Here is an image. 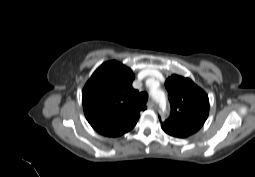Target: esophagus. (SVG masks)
<instances>
[{"label": "esophagus", "instance_id": "34e87169", "mask_svg": "<svg viewBox=\"0 0 255 177\" xmlns=\"http://www.w3.org/2000/svg\"><path fill=\"white\" fill-rule=\"evenodd\" d=\"M147 107H148V108H154V107H155L154 101L150 100V101L147 103Z\"/></svg>", "mask_w": 255, "mask_h": 177}]
</instances>
